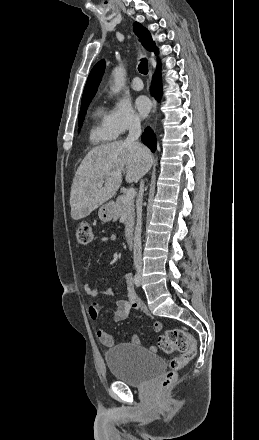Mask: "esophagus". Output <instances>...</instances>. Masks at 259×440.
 <instances>
[{
    "label": "esophagus",
    "mask_w": 259,
    "mask_h": 440,
    "mask_svg": "<svg viewBox=\"0 0 259 440\" xmlns=\"http://www.w3.org/2000/svg\"><path fill=\"white\" fill-rule=\"evenodd\" d=\"M156 110V101L153 99L152 100V113H154Z\"/></svg>",
    "instance_id": "1"
}]
</instances>
